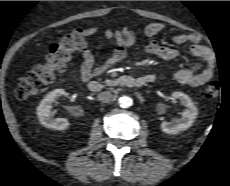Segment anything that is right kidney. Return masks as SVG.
I'll use <instances>...</instances> for the list:
<instances>
[{
    "label": "right kidney",
    "instance_id": "obj_1",
    "mask_svg": "<svg viewBox=\"0 0 230 186\" xmlns=\"http://www.w3.org/2000/svg\"><path fill=\"white\" fill-rule=\"evenodd\" d=\"M66 92L63 89H56L49 92L37 107V117L40 123L55 130H65L69 127V121L66 118H53L51 113L52 103L56 98L64 96Z\"/></svg>",
    "mask_w": 230,
    "mask_h": 186
}]
</instances>
